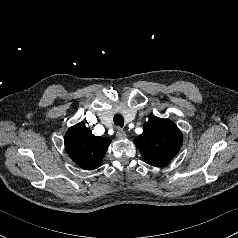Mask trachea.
<instances>
[{"instance_id": "obj_1", "label": "trachea", "mask_w": 238, "mask_h": 238, "mask_svg": "<svg viewBox=\"0 0 238 238\" xmlns=\"http://www.w3.org/2000/svg\"><path fill=\"white\" fill-rule=\"evenodd\" d=\"M114 124L120 127H123L124 125V118L120 114H116L113 118Z\"/></svg>"}]
</instances>
